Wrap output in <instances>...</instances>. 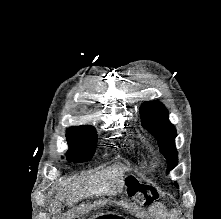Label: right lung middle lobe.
<instances>
[{
	"label": "right lung middle lobe",
	"mask_w": 221,
	"mask_h": 219,
	"mask_svg": "<svg viewBox=\"0 0 221 219\" xmlns=\"http://www.w3.org/2000/svg\"><path fill=\"white\" fill-rule=\"evenodd\" d=\"M66 137L69 145L66 158L69 162L80 163L92 158L97 143L94 127L88 125L70 127Z\"/></svg>",
	"instance_id": "dd1d6c3e"
}]
</instances>
